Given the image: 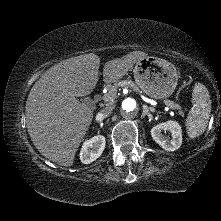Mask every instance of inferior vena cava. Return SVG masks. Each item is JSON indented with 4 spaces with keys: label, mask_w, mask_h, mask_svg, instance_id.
<instances>
[{
    "label": "inferior vena cava",
    "mask_w": 221,
    "mask_h": 221,
    "mask_svg": "<svg viewBox=\"0 0 221 221\" xmlns=\"http://www.w3.org/2000/svg\"><path fill=\"white\" fill-rule=\"evenodd\" d=\"M112 111H113V106L109 105V106L103 108L101 110V112L98 113V116L100 115L101 117H108L112 113Z\"/></svg>",
    "instance_id": "obj_1"
}]
</instances>
